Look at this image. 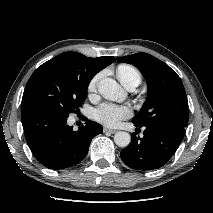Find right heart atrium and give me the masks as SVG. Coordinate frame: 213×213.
<instances>
[{
    "instance_id": "obj_1",
    "label": "right heart atrium",
    "mask_w": 213,
    "mask_h": 213,
    "mask_svg": "<svg viewBox=\"0 0 213 213\" xmlns=\"http://www.w3.org/2000/svg\"><path fill=\"white\" fill-rule=\"evenodd\" d=\"M100 78V75H96L94 76L91 81L89 82L88 84V91L90 93L94 92L96 90V87H97V83H98V80Z\"/></svg>"
}]
</instances>
